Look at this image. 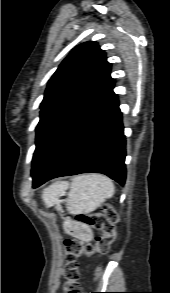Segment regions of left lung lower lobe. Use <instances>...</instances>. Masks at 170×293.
I'll return each instance as SVG.
<instances>
[{
	"label": "left lung lower lobe",
	"instance_id": "left-lung-lower-lobe-1",
	"mask_svg": "<svg viewBox=\"0 0 170 293\" xmlns=\"http://www.w3.org/2000/svg\"><path fill=\"white\" fill-rule=\"evenodd\" d=\"M125 136L117 95L107 100L77 130L62 151L40 175L33 177V188L68 175L102 173L121 185L126 178Z\"/></svg>",
	"mask_w": 170,
	"mask_h": 293
}]
</instances>
